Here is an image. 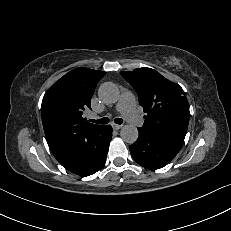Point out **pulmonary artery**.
<instances>
[{
	"instance_id": "1",
	"label": "pulmonary artery",
	"mask_w": 231,
	"mask_h": 231,
	"mask_svg": "<svg viewBox=\"0 0 231 231\" xmlns=\"http://www.w3.org/2000/svg\"><path fill=\"white\" fill-rule=\"evenodd\" d=\"M116 110L120 112L132 125L141 127L144 123L136 109L135 97L132 93L124 92L117 105Z\"/></svg>"
}]
</instances>
